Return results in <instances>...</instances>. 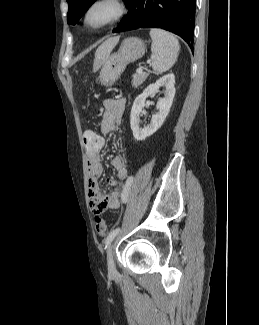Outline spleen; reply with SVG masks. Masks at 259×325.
I'll list each match as a JSON object with an SVG mask.
<instances>
[{
    "label": "spleen",
    "mask_w": 259,
    "mask_h": 325,
    "mask_svg": "<svg viewBox=\"0 0 259 325\" xmlns=\"http://www.w3.org/2000/svg\"><path fill=\"white\" fill-rule=\"evenodd\" d=\"M152 39V68L156 74L168 71L176 62L179 55V42L177 38L162 29H151Z\"/></svg>",
    "instance_id": "spleen-1"
}]
</instances>
